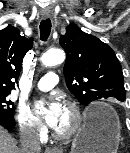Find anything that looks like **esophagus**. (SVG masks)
Returning a JSON list of instances; mask_svg holds the SVG:
<instances>
[{"instance_id": "34e87169", "label": "esophagus", "mask_w": 130, "mask_h": 153, "mask_svg": "<svg viewBox=\"0 0 130 153\" xmlns=\"http://www.w3.org/2000/svg\"><path fill=\"white\" fill-rule=\"evenodd\" d=\"M48 14H43L42 15V17L44 18V19H46V18H48ZM45 153H57V150L56 149H54V148H47L46 150H45Z\"/></svg>"}]
</instances>
